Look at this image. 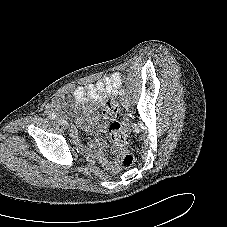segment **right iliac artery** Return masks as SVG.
Listing matches in <instances>:
<instances>
[{
  "mask_svg": "<svg viewBox=\"0 0 227 227\" xmlns=\"http://www.w3.org/2000/svg\"><path fill=\"white\" fill-rule=\"evenodd\" d=\"M48 118L55 119L56 118V115L54 113H49L48 114Z\"/></svg>",
  "mask_w": 227,
  "mask_h": 227,
  "instance_id": "82829eb1",
  "label": "right iliac artery"
}]
</instances>
